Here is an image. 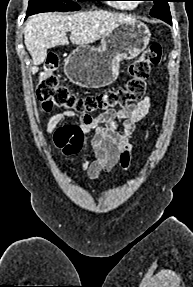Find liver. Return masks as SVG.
<instances>
[{
  "instance_id": "liver-1",
  "label": "liver",
  "mask_w": 193,
  "mask_h": 287,
  "mask_svg": "<svg viewBox=\"0 0 193 287\" xmlns=\"http://www.w3.org/2000/svg\"><path fill=\"white\" fill-rule=\"evenodd\" d=\"M133 17L107 11H87L71 15L40 13L31 16L24 27V41L32 61V73L38 72L47 56V50L58 45H68L66 32L75 45L94 43L108 35L121 23Z\"/></svg>"
}]
</instances>
